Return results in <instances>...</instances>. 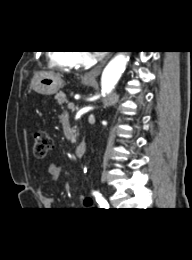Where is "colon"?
Returning a JSON list of instances; mask_svg holds the SVG:
<instances>
[{"label": "colon", "mask_w": 192, "mask_h": 260, "mask_svg": "<svg viewBox=\"0 0 192 260\" xmlns=\"http://www.w3.org/2000/svg\"><path fill=\"white\" fill-rule=\"evenodd\" d=\"M34 138V155L37 158L44 157L51 148V140L49 136L42 130H36L33 134Z\"/></svg>", "instance_id": "colon-1"}]
</instances>
